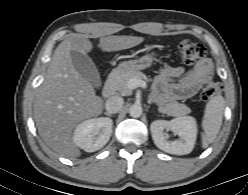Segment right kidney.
I'll return each mask as SVG.
<instances>
[{
	"label": "right kidney",
	"instance_id": "right-kidney-1",
	"mask_svg": "<svg viewBox=\"0 0 248 195\" xmlns=\"http://www.w3.org/2000/svg\"><path fill=\"white\" fill-rule=\"evenodd\" d=\"M112 126V119L106 117L85 120L75 128L73 142L86 152H95L109 141Z\"/></svg>",
	"mask_w": 248,
	"mask_h": 195
}]
</instances>
